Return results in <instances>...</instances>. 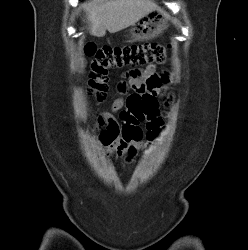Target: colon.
Listing matches in <instances>:
<instances>
[{
	"label": "colon",
	"instance_id": "5ec220e1",
	"mask_svg": "<svg viewBox=\"0 0 248 250\" xmlns=\"http://www.w3.org/2000/svg\"><path fill=\"white\" fill-rule=\"evenodd\" d=\"M85 51L88 56L93 57L89 90L98 101H102L106 97L108 73L111 69L162 63L167 56V46L158 43L100 48L87 45ZM164 82L165 78L159 76L151 77L148 80L149 84L157 83L158 86H162ZM127 107L138 120L143 121L158 110V102L156 96L151 92H134L127 98Z\"/></svg>",
	"mask_w": 248,
	"mask_h": 250
}]
</instances>
